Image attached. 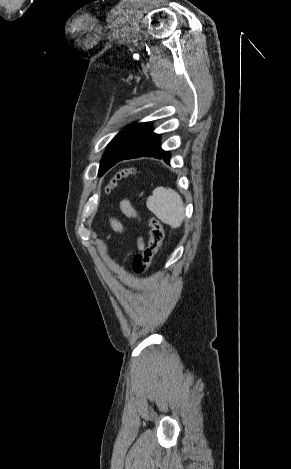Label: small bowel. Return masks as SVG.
I'll use <instances>...</instances> for the list:
<instances>
[{
	"label": "small bowel",
	"mask_w": 291,
	"mask_h": 469,
	"mask_svg": "<svg viewBox=\"0 0 291 469\" xmlns=\"http://www.w3.org/2000/svg\"><path fill=\"white\" fill-rule=\"evenodd\" d=\"M121 210H122L123 214L125 216H127L128 218H137V213L135 212L133 207L128 202L125 201L121 204ZM110 223H111L112 229L115 232H119V233L123 232V226H122L121 222L118 219L112 218ZM137 248L140 251L143 250L144 243H143L142 239H138Z\"/></svg>",
	"instance_id": "obj_1"
}]
</instances>
